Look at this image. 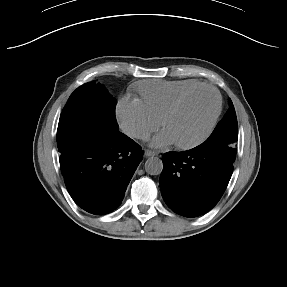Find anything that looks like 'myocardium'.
Returning <instances> with one entry per match:
<instances>
[{"instance_id":"f54148a6","label":"myocardium","mask_w":287,"mask_h":287,"mask_svg":"<svg viewBox=\"0 0 287 287\" xmlns=\"http://www.w3.org/2000/svg\"><path fill=\"white\" fill-rule=\"evenodd\" d=\"M200 90H209L211 91L216 99V107H215V111L212 115V118L207 126V128L205 129V131L195 140L187 142V143H176V146L179 149L182 150H189V149H193L199 145H201L202 143H204L212 134L219 116L221 114L222 111V98L221 95L219 93V91L209 85V84H200L198 86H195L193 88H190L189 90H187L186 92H184L181 96H179L174 103L169 107V109L165 112V114L163 115L162 119H161V125L162 127L165 128V125L167 123V121L172 118L177 112L178 110L181 108V106L183 105V103L194 93L200 91Z\"/></svg>"}]
</instances>
